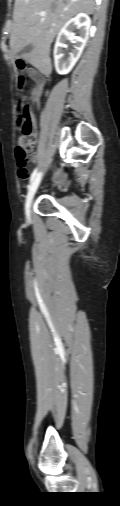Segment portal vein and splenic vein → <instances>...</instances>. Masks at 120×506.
<instances>
[{"label": "portal vein and splenic vein", "instance_id": "18ae733b", "mask_svg": "<svg viewBox=\"0 0 120 506\" xmlns=\"http://www.w3.org/2000/svg\"><path fill=\"white\" fill-rule=\"evenodd\" d=\"M41 16H42V17H45V14L43 13V14H41Z\"/></svg>", "mask_w": 120, "mask_h": 506}]
</instances>
